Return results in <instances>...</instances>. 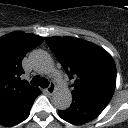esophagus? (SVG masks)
<instances>
[{
    "label": "esophagus",
    "instance_id": "obj_1",
    "mask_svg": "<svg viewBox=\"0 0 128 128\" xmlns=\"http://www.w3.org/2000/svg\"><path fill=\"white\" fill-rule=\"evenodd\" d=\"M55 84L52 82L50 85L46 88V92L48 94H53L55 92Z\"/></svg>",
    "mask_w": 128,
    "mask_h": 128
}]
</instances>
